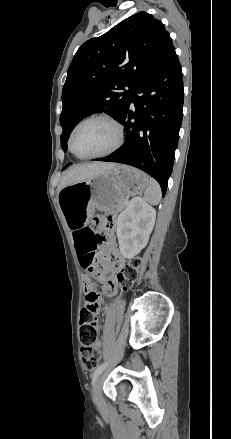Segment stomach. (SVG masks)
<instances>
[{
    "label": "stomach",
    "instance_id": "obj_1",
    "mask_svg": "<svg viewBox=\"0 0 231 439\" xmlns=\"http://www.w3.org/2000/svg\"><path fill=\"white\" fill-rule=\"evenodd\" d=\"M148 176L127 165L117 164L86 181L71 184L59 192V204L70 229L86 226L95 209H120L126 196L142 193Z\"/></svg>",
    "mask_w": 231,
    "mask_h": 439
}]
</instances>
